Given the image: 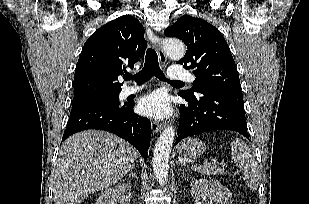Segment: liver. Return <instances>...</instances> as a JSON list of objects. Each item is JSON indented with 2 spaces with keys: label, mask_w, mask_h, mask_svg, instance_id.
<instances>
[{
  "label": "liver",
  "mask_w": 309,
  "mask_h": 204,
  "mask_svg": "<svg viewBox=\"0 0 309 204\" xmlns=\"http://www.w3.org/2000/svg\"><path fill=\"white\" fill-rule=\"evenodd\" d=\"M137 157L131 144L111 133L86 130L72 135L63 142L55 163L54 204H80L119 181Z\"/></svg>",
  "instance_id": "1"
}]
</instances>
